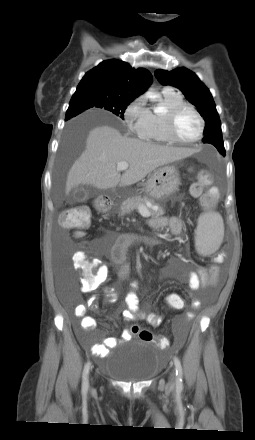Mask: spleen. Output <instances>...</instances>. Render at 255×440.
I'll return each mask as SVG.
<instances>
[{
  "instance_id": "obj_1",
  "label": "spleen",
  "mask_w": 255,
  "mask_h": 440,
  "mask_svg": "<svg viewBox=\"0 0 255 440\" xmlns=\"http://www.w3.org/2000/svg\"><path fill=\"white\" fill-rule=\"evenodd\" d=\"M223 236L224 224L219 213L200 215L195 231V247L199 254L206 256L214 253L220 247Z\"/></svg>"
}]
</instances>
